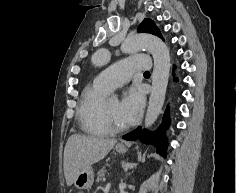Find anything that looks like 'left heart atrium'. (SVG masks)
I'll list each match as a JSON object with an SVG mask.
<instances>
[{
  "mask_svg": "<svg viewBox=\"0 0 237 193\" xmlns=\"http://www.w3.org/2000/svg\"><path fill=\"white\" fill-rule=\"evenodd\" d=\"M144 107V94L140 86L128 89L120 103L121 114L127 124L134 123L141 115Z\"/></svg>",
  "mask_w": 237,
  "mask_h": 193,
  "instance_id": "1",
  "label": "left heart atrium"
}]
</instances>
